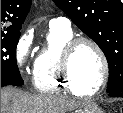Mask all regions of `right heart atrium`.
<instances>
[{
  "instance_id": "right-heart-atrium-1",
  "label": "right heart atrium",
  "mask_w": 123,
  "mask_h": 113,
  "mask_svg": "<svg viewBox=\"0 0 123 113\" xmlns=\"http://www.w3.org/2000/svg\"><path fill=\"white\" fill-rule=\"evenodd\" d=\"M31 49L32 36L29 33H26L18 39L14 49L15 63L23 76L29 74L34 67L31 58Z\"/></svg>"
}]
</instances>
